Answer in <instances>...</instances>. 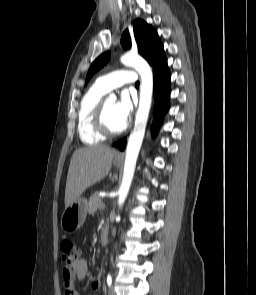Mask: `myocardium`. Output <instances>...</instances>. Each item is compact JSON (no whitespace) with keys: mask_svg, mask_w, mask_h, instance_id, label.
<instances>
[{"mask_svg":"<svg viewBox=\"0 0 256 295\" xmlns=\"http://www.w3.org/2000/svg\"><path fill=\"white\" fill-rule=\"evenodd\" d=\"M105 102L106 100L102 99L95 109L94 126L96 130L104 137H115L123 133L125 126L119 130H112L109 128L105 120Z\"/></svg>","mask_w":256,"mask_h":295,"instance_id":"myocardium-1","label":"myocardium"}]
</instances>
